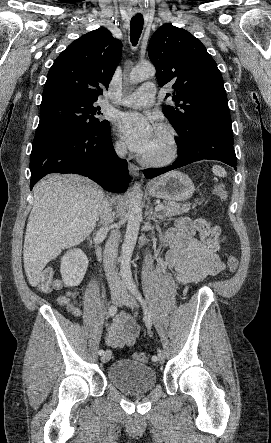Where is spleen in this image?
Wrapping results in <instances>:
<instances>
[{"mask_svg": "<svg viewBox=\"0 0 271 443\" xmlns=\"http://www.w3.org/2000/svg\"><path fill=\"white\" fill-rule=\"evenodd\" d=\"M212 172L215 174V176H220V178H225L226 176V172L224 168H221V166H213Z\"/></svg>", "mask_w": 271, "mask_h": 443, "instance_id": "obj_1", "label": "spleen"}]
</instances>
